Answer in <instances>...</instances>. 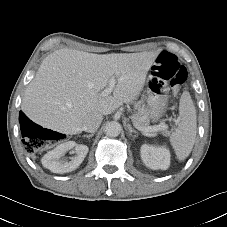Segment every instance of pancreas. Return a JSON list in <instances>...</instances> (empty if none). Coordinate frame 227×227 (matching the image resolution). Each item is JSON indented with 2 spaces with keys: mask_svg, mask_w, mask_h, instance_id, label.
<instances>
[{
  "mask_svg": "<svg viewBox=\"0 0 227 227\" xmlns=\"http://www.w3.org/2000/svg\"><path fill=\"white\" fill-rule=\"evenodd\" d=\"M135 108L137 109V113L134 114L133 120L138 123L141 127H148L149 118H148V109L142 106L140 103L135 104ZM165 135H169L170 132L166 129H163Z\"/></svg>",
  "mask_w": 227,
  "mask_h": 227,
  "instance_id": "1",
  "label": "pancreas"
}]
</instances>
